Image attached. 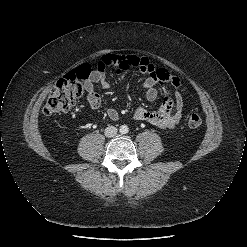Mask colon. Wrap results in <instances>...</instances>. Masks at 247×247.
<instances>
[{"instance_id":"obj_1","label":"colon","mask_w":247,"mask_h":247,"mask_svg":"<svg viewBox=\"0 0 247 247\" xmlns=\"http://www.w3.org/2000/svg\"><path fill=\"white\" fill-rule=\"evenodd\" d=\"M90 73V67L85 64L60 79L50 92L43 112L46 115H53L67 112L77 105L84 95L82 82L89 77ZM201 123L202 118L199 109L197 106H193L188 117V125L191 128H197Z\"/></svg>"}]
</instances>
